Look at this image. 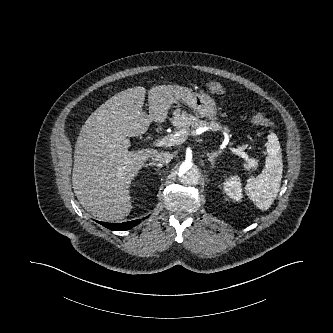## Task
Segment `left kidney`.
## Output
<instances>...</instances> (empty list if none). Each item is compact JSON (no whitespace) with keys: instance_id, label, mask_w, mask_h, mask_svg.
I'll list each match as a JSON object with an SVG mask.
<instances>
[{"instance_id":"1","label":"left kidney","mask_w":333,"mask_h":333,"mask_svg":"<svg viewBox=\"0 0 333 333\" xmlns=\"http://www.w3.org/2000/svg\"><path fill=\"white\" fill-rule=\"evenodd\" d=\"M224 192L234 201L240 202L243 197L240 179L237 176L227 179L224 182Z\"/></svg>"}]
</instances>
